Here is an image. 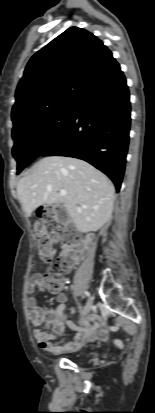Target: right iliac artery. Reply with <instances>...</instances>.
Here are the masks:
<instances>
[{
    "instance_id": "82829eb1",
    "label": "right iliac artery",
    "mask_w": 155,
    "mask_h": 413,
    "mask_svg": "<svg viewBox=\"0 0 155 413\" xmlns=\"http://www.w3.org/2000/svg\"><path fill=\"white\" fill-rule=\"evenodd\" d=\"M85 295H86V296H89V293H88V292H85Z\"/></svg>"
}]
</instances>
